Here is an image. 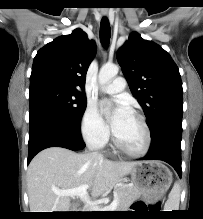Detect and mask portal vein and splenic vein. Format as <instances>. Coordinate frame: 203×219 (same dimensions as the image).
<instances>
[{
    "label": "portal vein and splenic vein",
    "instance_id": "18ae733b",
    "mask_svg": "<svg viewBox=\"0 0 203 219\" xmlns=\"http://www.w3.org/2000/svg\"><path fill=\"white\" fill-rule=\"evenodd\" d=\"M88 185H82L78 188L70 189V190H62V191H55V193L59 196H69V197H75L79 196L81 200L87 205L90 206V208L93 211H112L117 208L118 206V197H115L114 200L105 207H99L96 204H93L88 196L87 193Z\"/></svg>",
    "mask_w": 203,
    "mask_h": 219
}]
</instances>
